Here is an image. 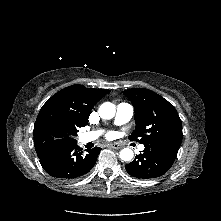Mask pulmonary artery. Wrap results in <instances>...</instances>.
Here are the masks:
<instances>
[{"instance_id":"e3ab8cb5","label":"pulmonary artery","mask_w":221,"mask_h":221,"mask_svg":"<svg viewBox=\"0 0 221 221\" xmlns=\"http://www.w3.org/2000/svg\"><path fill=\"white\" fill-rule=\"evenodd\" d=\"M133 114L134 108L131 104L125 102L118 104L116 107L115 124L127 123L133 117ZM100 134L101 131L83 133L79 136V141L84 144L89 143L96 140ZM138 148L139 150H143L145 147L144 145H139Z\"/></svg>"}]
</instances>
